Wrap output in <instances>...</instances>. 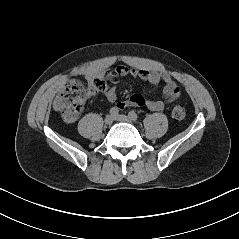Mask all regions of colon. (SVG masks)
<instances>
[{"label":"colon","mask_w":239,"mask_h":239,"mask_svg":"<svg viewBox=\"0 0 239 239\" xmlns=\"http://www.w3.org/2000/svg\"><path fill=\"white\" fill-rule=\"evenodd\" d=\"M106 79L96 81L99 90H103ZM90 93V88L77 78L69 79L63 91L58 95L54 102V108L58 111L66 122L76 121L82 111L86 97ZM186 109L184 105L178 104L172 110V117L175 120H182L185 117Z\"/></svg>","instance_id":"1"}]
</instances>
